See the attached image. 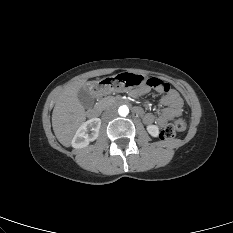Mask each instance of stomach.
<instances>
[{
  "mask_svg": "<svg viewBox=\"0 0 233 233\" xmlns=\"http://www.w3.org/2000/svg\"><path fill=\"white\" fill-rule=\"evenodd\" d=\"M146 77L142 74L126 72L122 74L109 75L102 82H93L97 96L107 95L111 92L131 90L138 84H143Z\"/></svg>",
  "mask_w": 233,
  "mask_h": 233,
  "instance_id": "obj_1",
  "label": "stomach"
}]
</instances>
